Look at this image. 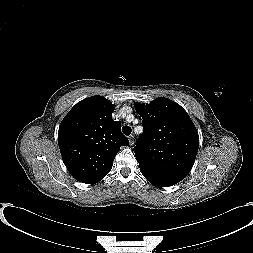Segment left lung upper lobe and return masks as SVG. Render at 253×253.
I'll use <instances>...</instances> for the list:
<instances>
[{
	"label": "left lung upper lobe",
	"instance_id": "5c2ea615",
	"mask_svg": "<svg viewBox=\"0 0 253 253\" xmlns=\"http://www.w3.org/2000/svg\"><path fill=\"white\" fill-rule=\"evenodd\" d=\"M144 133L134 147L144 177L171 186L184 179L194 164L198 132L187 112L170 99L136 104Z\"/></svg>",
	"mask_w": 253,
	"mask_h": 253
}]
</instances>
